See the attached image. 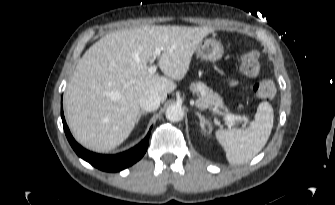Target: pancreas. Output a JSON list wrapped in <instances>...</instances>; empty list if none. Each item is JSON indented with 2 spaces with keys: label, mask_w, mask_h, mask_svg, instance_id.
Masks as SVG:
<instances>
[{
  "label": "pancreas",
  "mask_w": 335,
  "mask_h": 205,
  "mask_svg": "<svg viewBox=\"0 0 335 205\" xmlns=\"http://www.w3.org/2000/svg\"><path fill=\"white\" fill-rule=\"evenodd\" d=\"M190 89L192 92L200 94V97L197 100V105L200 108L214 107L226 109L222 98L216 92H213L212 89L207 87V85L203 82H193L190 86Z\"/></svg>",
  "instance_id": "1"
}]
</instances>
